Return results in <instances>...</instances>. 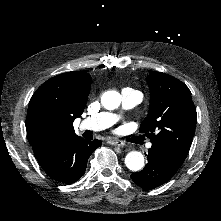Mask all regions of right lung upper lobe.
<instances>
[{
	"instance_id": "cb5924a9",
	"label": "right lung upper lobe",
	"mask_w": 221,
	"mask_h": 221,
	"mask_svg": "<svg viewBox=\"0 0 221 221\" xmlns=\"http://www.w3.org/2000/svg\"><path fill=\"white\" fill-rule=\"evenodd\" d=\"M90 88L88 73L67 72L50 78L33 94L26 130L37 159L78 137L73 122L83 113Z\"/></svg>"
}]
</instances>
